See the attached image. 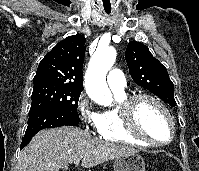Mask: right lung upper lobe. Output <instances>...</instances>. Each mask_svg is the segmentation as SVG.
<instances>
[{"label":"right lung upper lobe","mask_w":199,"mask_h":171,"mask_svg":"<svg viewBox=\"0 0 199 171\" xmlns=\"http://www.w3.org/2000/svg\"><path fill=\"white\" fill-rule=\"evenodd\" d=\"M85 42L81 34L60 41L39 63L34 82H55L83 88Z\"/></svg>","instance_id":"cb5924a9"}]
</instances>
